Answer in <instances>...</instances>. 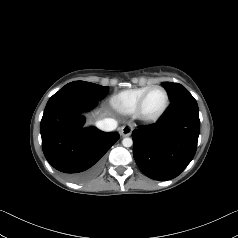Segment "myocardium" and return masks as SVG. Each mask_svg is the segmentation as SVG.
Listing matches in <instances>:
<instances>
[{
	"instance_id": "obj_1",
	"label": "myocardium",
	"mask_w": 238,
	"mask_h": 238,
	"mask_svg": "<svg viewBox=\"0 0 238 238\" xmlns=\"http://www.w3.org/2000/svg\"><path fill=\"white\" fill-rule=\"evenodd\" d=\"M154 89H160L164 92L165 94V104L163 106V108L155 115H147L144 112V104L145 101L148 97V95L150 94L151 91H153ZM170 104V97H169V93L168 91L161 85H153L150 86L144 93L143 95L140 97L137 106L135 108L134 114L136 116V118L142 122L145 123H152V122H156L157 120H159L167 111L168 107Z\"/></svg>"
}]
</instances>
